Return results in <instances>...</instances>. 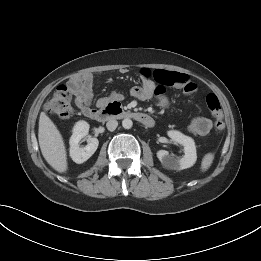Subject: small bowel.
<instances>
[{
  "label": "small bowel",
  "mask_w": 261,
  "mask_h": 261,
  "mask_svg": "<svg viewBox=\"0 0 261 261\" xmlns=\"http://www.w3.org/2000/svg\"><path fill=\"white\" fill-rule=\"evenodd\" d=\"M94 73L87 72L73 77L68 82L69 90L74 95L75 104L87 116L90 112V104L93 100ZM141 85L135 86L131 90V95L139 100H148L157 96L163 105H167L164 96V86H175L181 88L184 93L192 94L197 90V84L186 74L166 70H156L150 73L147 69L140 71ZM115 99H121L120 95H115ZM105 99H102L104 101ZM210 120L203 117L195 118L189 125V130L196 136H204L211 130Z\"/></svg>",
  "instance_id": "c3829d8e"
}]
</instances>
